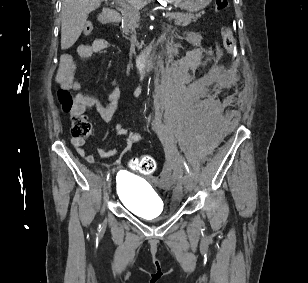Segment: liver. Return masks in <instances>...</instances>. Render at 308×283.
Here are the masks:
<instances>
[{
    "instance_id": "liver-1",
    "label": "liver",
    "mask_w": 308,
    "mask_h": 283,
    "mask_svg": "<svg viewBox=\"0 0 308 283\" xmlns=\"http://www.w3.org/2000/svg\"><path fill=\"white\" fill-rule=\"evenodd\" d=\"M102 0H62L61 48H70L81 35L88 15L100 7ZM150 0H129L141 8Z\"/></svg>"
}]
</instances>
